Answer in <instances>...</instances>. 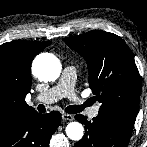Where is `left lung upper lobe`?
<instances>
[{
    "label": "left lung upper lobe",
    "mask_w": 147,
    "mask_h": 147,
    "mask_svg": "<svg viewBox=\"0 0 147 147\" xmlns=\"http://www.w3.org/2000/svg\"><path fill=\"white\" fill-rule=\"evenodd\" d=\"M63 40L86 60L89 86L101 104L98 117L131 135L141 86L140 75L127 44L119 36L99 30Z\"/></svg>",
    "instance_id": "5c2ea615"
}]
</instances>
